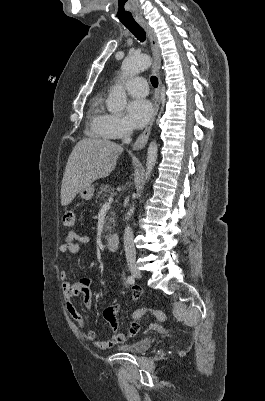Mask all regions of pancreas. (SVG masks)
Wrapping results in <instances>:
<instances>
[{
  "mask_svg": "<svg viewBox=\"0 0 265 401\" xmlns=\"http://www.w3.org/2000/svg\"><path fill=\"white\" fill-rule=\"evenodd\" d=\"M113 190H114V188H113V186H111V184H101V186L96 194V198H101V201H105V196H107L108 192L111 196V194H113ZM109 194H108V196H109ZM96 203H98V201H96ZM109 215H110V217H108L107 223H105V225L103 227L104 239H107L108 233H109V231H112V229H113L112 225H114V223H115V219H114V217L116 215L115 211H110Z\"/></svg>",
  "mask_w": 265,
  "mask_h": 401,
  "instance_id": "1",
  "label": "pancreas"
}]
</instances>
